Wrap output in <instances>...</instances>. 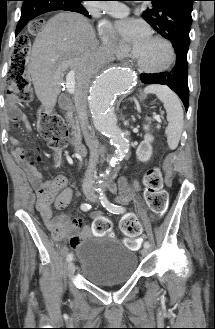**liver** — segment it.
<instances>
[{"label": "liver", "instance_id": "1", "mask_svg": "<svg viewBox=\"0 0 215 329\" xmlns=\"http://www.w3.org/2000/svg\"><path fill=\"white\" fill-rule=\"evenodd\" d=\"M99 49L91 23L78 13L62 12L37 35L27 58L28 73L39 101L54 108L61 92V77L75 71L76 91L89 85L103 64L95 58Z\"/></svg>", "mask_w": 215, "mask_h": 329}]
</instances>
